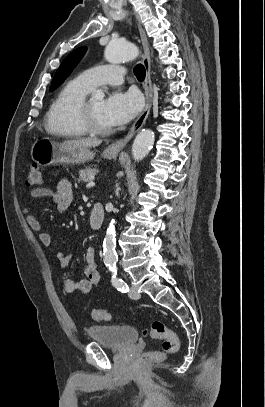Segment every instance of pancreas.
I'll return each mask as SVG.
<instances>
[{
	"instance_id": "cf45deb5",
	"label": "pancreas",
	"mask_w": 265,
	"mask_h": 407,
	"mask_svg": "<svg viewBox=\"0 0 265 407\" xmlns=\"http://www.w3.org/2000/svg\"><path fill=\"white\" fill-rule=\"evenodd\" d=\"M98 173L96 168H86L79 171L78 182H89L92 181L94 176Z\"/></svg>"
}]
</instances>
